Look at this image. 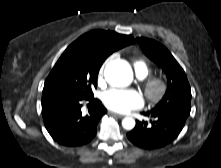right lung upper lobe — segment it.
Here are the masks:
<instances>
[{"mask_svg": "<svg viewBox=\"0 0 221 168\" xmlns=\"http://www.w3.org/2000/svg\"><path fill=\"white\" fill-rule=\"evenodd\" d=\"M133 43L135 40L130 35L93 30L80 36L68 48L87 49L106 59L114 51Z\"/></svg>", "mask_w": 221, "mask_h": 168, "instance_id": "obj_1", "label": "right lung upper lobe"}]
</instances>
